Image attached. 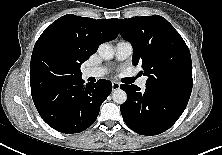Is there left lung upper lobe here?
<instances>
[{
  "label": "left lung upper lobe",
  "mask_w": 222,
  "mask_h": 155,
  "mask_svg": "<svg viewBox=\"0 0 222 155\" xmlns=\"http://www.w3.org/2000/svg\"><path fill=\"white\" fill-rule=\"evenodd\" d=\"M133 46V65L147 75L146 87L189 100L192 91L190 51L180 34L158 15L113 19Z\"/></svg>",
  "instance_id": "obj_1"
}]
</instances>
